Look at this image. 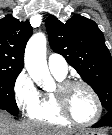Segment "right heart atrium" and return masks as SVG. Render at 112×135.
Segmentation results:
<instances>
[{"label": "right heart atrium", "instance_id": "d8ad5b80", "mask_svg": "<svg viewBox=\"0 0 112 135\" xmlns=\"http://www.w3.org/2000/svg\"><path fill=\"white\" fill-rule=\"evenodd\" d=\"M13 94L18 108L26 113L37 106L40 98V91L25 71L17 76L13 85Z\"/></svg>", "mask_w": 112, "mask_h": 135}]
</instances>
